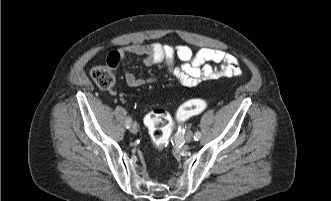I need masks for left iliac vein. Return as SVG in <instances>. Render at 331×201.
Returning a JSON list of instances; mask_svg holds the SVG:
<instances>
[{
	"instance_id": "1",
	"label": "left iliac vein",
	"mask_w": 331,
	"mask_h": 201,
	"mask_svg": "<svg viewBox=\"0 0 331 201\" xmlns=\"http://www.w3.org/2000/svg\"><path fill=\"white\" fill-rule=\"evenodd\" d=\"M192 139H193L192 131H190V130L186 131V133L184 135V140L188 143V142H191Z\"/></svg>"
}]
</instances>
